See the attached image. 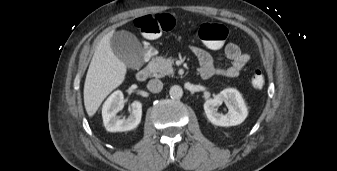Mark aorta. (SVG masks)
<instances>
[{"label":"aorta","mask_w":337,"mask_h":171,"mask_svg":"<svg viewBox=\"0 0 337 171\" xmlns=\"http://www.w3.org/2000/svg\"><path fill=\"white\" fill-rule=\"evenodd\" d=\"M170 97L180 99L183 96V90L179 85H173L169 91Z\"/></svg>","instance_id":"762f6f07"}]
</instances>
